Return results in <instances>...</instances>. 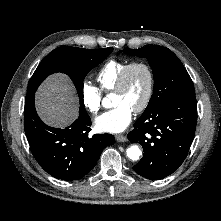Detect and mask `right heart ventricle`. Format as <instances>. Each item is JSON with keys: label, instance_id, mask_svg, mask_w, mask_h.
Returning a JSON list of instances; mask_svg holds the SVG:
<instances>
[{"label": "right heart ventricle", "instance_id": "1", "mask_svg": "<svg viewBox=\"0 0 221 221\" xmlns=\"http://www.w3.org/2000/svg\"><path fill=\"white\" fill-rule=\"evenodd\" d=\"M127 64L128 61L126 60L111 59L103 65L96 76V80L104 92L109 93L114 90L118 78Z\"/></svg>", "mask_w": 221, "mask_h": 221}]
</instances>
